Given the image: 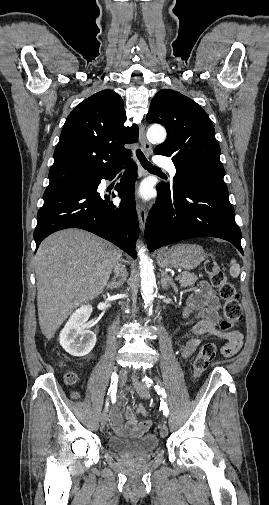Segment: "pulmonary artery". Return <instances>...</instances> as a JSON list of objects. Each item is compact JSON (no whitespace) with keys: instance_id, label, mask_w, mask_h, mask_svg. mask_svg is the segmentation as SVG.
<instances>
[{"instance_id":"pulmonary-artery-1","label":"pulmonary artery","mask_w":269,"mask_h":505,"mask_svg":"<svg viewBox=\"0 0 269 505\" xmlns=\"http://www.w3.org/2000/svg\"><path fill=\"white\" fill-rule=\"evenodd\" d=\"M155 162L159 167L166 169L172 177H174L176 175V173H177L176 167L170 159L157 158L155 160Z\"/></svg>"}]
</instances>
